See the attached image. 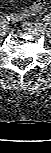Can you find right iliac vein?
Returning a JSON list of instances; mask_svg holds the SVG:
<instances>
[{
    "label": "right iliac vein",
    "instance_id": "right-iliac-vein-1",
    "mask_svg": "<svg viewBox=\"0 0 51 153\" xmlns=\"http://www.w3.org/2000/svg\"><path fill=\"white\" fill-rule=\"evenodd\" d=\"M8 33V27L6 25H1L0 35L5 36Z\"/></svg>",
    "mask_w": 51,
    "mask_h": 153
}]
</instances>
